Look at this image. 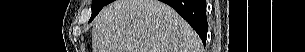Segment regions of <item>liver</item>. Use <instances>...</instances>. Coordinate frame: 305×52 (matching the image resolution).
<instances>
[{
    "mask_svg": "<svg viewBox=\"0 0 305 52\" xmlns=\"http://www.w3.org/2000/svg\"><path fill=\"white\" fill-rule=\"evenodd\" d=\"M93 52H200L201 40L178 13L158 0H116L98 14Z\"/></svg>",
    "mask_w": 305,
    "mask_h": 52,
    "instance_id": "6515ba94",
    "label": "liver"
}]
</instances>
